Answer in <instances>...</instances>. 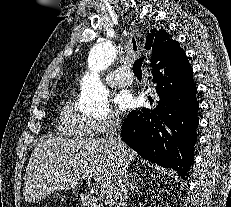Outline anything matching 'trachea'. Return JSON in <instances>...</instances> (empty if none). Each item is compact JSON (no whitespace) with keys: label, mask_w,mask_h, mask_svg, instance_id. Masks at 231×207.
<instances>
[{"label":"trachea","mask_w":231,"mask_h":207,"mask_svg":"<svg viewBox=\"0 0 231 207\" xmlns=\"http://www.w3.org/2000/svg\"><path fill=\"white\" fill-rule=\"evenodd\" d=\"M132 44H133V50L136 51L137 50V46H136V41L133 38L132 39ZM144 61V57H141L139 59H137L134 64H133V72L135 74L136 77H142V64Z\"/></svg>","instance_id":"obj_1"}]
</instances>
